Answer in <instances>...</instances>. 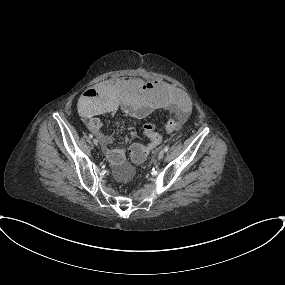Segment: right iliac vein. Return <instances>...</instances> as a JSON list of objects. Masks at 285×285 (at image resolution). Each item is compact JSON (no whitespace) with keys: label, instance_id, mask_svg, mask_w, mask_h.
<instances>
[{"label":"right iliac vein","instance_id":"obj_1","mask_svg":"<svg viewBox=\"0 0 285 285\" xmlns=\"http://www.w3.org/2000/svg\"><path fill=\"white\" fill-rule=\"evenodd\" d=\"M93 143L95 144V145H98V140L95 138V139H93Z\"/></svg>","mask_w":285,"mask_h":285}]
</instances>
